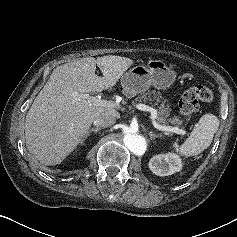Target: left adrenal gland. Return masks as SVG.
<instances>
[{
  "label": "left adrenal gland",
  "instance_id": "left-adrenal-gland-1",
  "mask_svg": "<svg viewBox=\"0 0 237 237\" xmlns=\"http://www.w3.org/2000/svg\"><path fill=\"white\" fill-rule=\"evenodd\" d=\"M149 137L151 140H154L155 138H161L162 135L161 134H154L153 132H149Z\"/></svg>",
  "mask_w": 237,
  "mask_h": 237
}]
</instances>
